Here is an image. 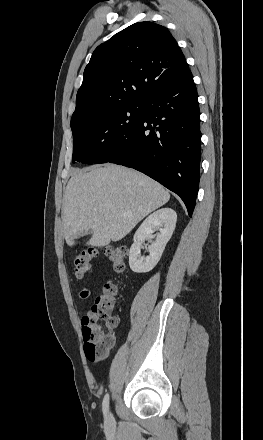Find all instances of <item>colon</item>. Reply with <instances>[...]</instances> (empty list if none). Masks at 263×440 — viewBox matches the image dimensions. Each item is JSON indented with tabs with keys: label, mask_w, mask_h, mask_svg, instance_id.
<instances>
[{
	"label": "colon",
	"mask_w": 263,
	"mask_h": 440,
	"mask_svg": "<svg viewBox=\"0 0 263 440\" xmlns=\"http://www.w3.org/2000/svg\"><path fill=\"white\" fill-rule=\"evenodd\" d=\"M105 252L115 271L125 268L127 250L120 245H110ZM95 247H85L73 257V271L77 278H83L90 270L91 261L97 255ZM117 287L106 282L103 294L85 311L82 318L83 349L87 359L95 361L105 358L114 339L117 324L116 295Z\"/></svg>",
	"instance_id": "colon-1"
}]
</instances>
